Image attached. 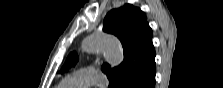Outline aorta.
<instances>
[{
    "label": "aorta",
    "instance_id": "762f6f07",
    "mask_svg": "<svg viewBox=\"0 0 223 88\" xmlns=\"http://www.w3.org/2000/svg\"><path fill=\"white\" fill-rule=\"evenodd\" d=\"M82 49L88 53L102 52L111 67L118 66L124 57L123 49L118 39L104 33H95L87 37L82 43Z\"/></svg>",
    "mask_w": 223,
    "mask_h": 88
}]
</instances>
